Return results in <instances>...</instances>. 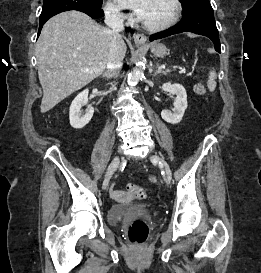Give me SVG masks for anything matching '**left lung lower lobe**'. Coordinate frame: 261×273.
<instances>
[{
  "mask_svg": "<svg viewBox=\"0 0 261 273\" xmlns=\"http://www.w3.org/2000/svg\"><path fill=\"white\" fill-rule=\"evenodd\" d=\"M181 32H193L206 36L214 43L215 50L221 52L218 30L209 0H200L183 8L182 20L168 30L151 35L150 41Z\"/></svg>",
  "mask_w": 261,
  "mask_h": 273,
  "instance_id": "left-lung-lower-lobe-1",
  "label": "left lung lower lobe"
}]
</instances>
